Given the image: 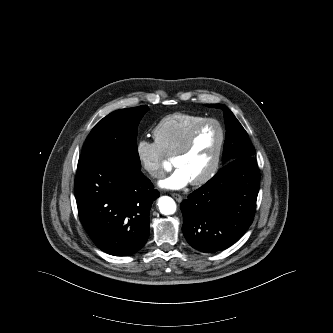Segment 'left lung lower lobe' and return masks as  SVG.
<instances>
[{
    "label": "left lung lower lobe",
    "instance_id": "left-lung-lower-lobe-1",
    "mask_svg": "<svg viewBox=\"0 0 333 333\" xmlns=\"http://www.w3.org/2000/svg\"><path fill=\"white\" fill-rule=\"evenodd\" d=\"M260 174L254 157L228 162L181 203L183 233L195 249L213 253L236 242L253 221Z\"/></svg>",
    "mask_w": 333,
    "mask_h": 333
}]
</instances>
